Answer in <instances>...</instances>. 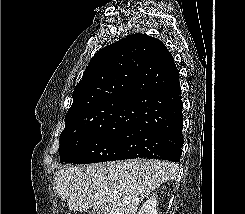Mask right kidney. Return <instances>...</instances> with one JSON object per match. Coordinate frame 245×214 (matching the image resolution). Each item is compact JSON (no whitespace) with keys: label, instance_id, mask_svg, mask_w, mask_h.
Here are the masks:
<instances>
[{"label":"right kidney","instance_id":"ca27d5eb","mask_svg":"<svg viewBox=\"0 0 245 214\" xmlns=\"http://www.w3.org/2000/svg\"><path fill=\"white\" fill-rule=\"evenodd\" d=\"M138 214H158V200L156 197L148 198L144 203Z\"/></svg>","mask_w":245,"mask_h":214}]
</instances>
